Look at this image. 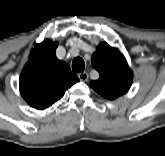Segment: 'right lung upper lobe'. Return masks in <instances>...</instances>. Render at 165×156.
I'll return each mask as SVG.
<instances>
[{"mask_svg": "<svg viewBox=\"0 0 165 156\" xmlns=\"http://www.w3.org/2000/svg\"><path fill=\"white\" fill-rule=\"evenodd\" d=\"M57 42L37 44L20 76V93L36 109H45L58 101L79 81L69 66L56 57Z\"/></svg>", "mask_w": 165, "mask_h": 156, "instance_id": "obj_1", "label": "right lung upper lobe"}]
</instances>
